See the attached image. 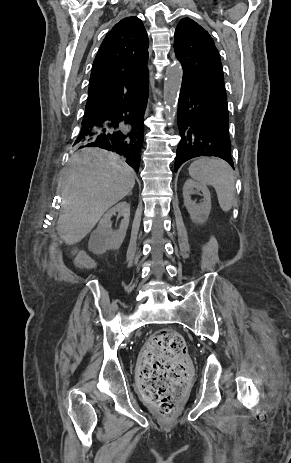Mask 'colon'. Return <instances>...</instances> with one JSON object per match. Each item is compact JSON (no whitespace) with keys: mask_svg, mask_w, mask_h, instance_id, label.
I'll list each match as a JSON object with an SVG mask.
<instances>
[{"mask_svg":"<svg viewBox=\"0 0 291 463\" xmlns=\"http://www.w3.org/2000/svg\"><path fill=\"white\" fill-rule=\"evenodd\" d=\"M74 260L78 266H91V259L85 252H77ZM186 349V342L179 333L162 329L151 337L140 355L138 376L141 393L165 419L173 417L177 399L189 381L190 364Z\"/></svg>","mask_w":291,"mask_h":463,"instance_id":"5ec220e1","label":"colon"}]
</instances>
